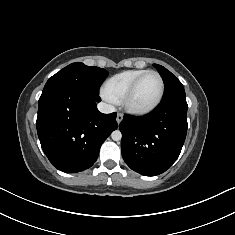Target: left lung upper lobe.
<instances>
[{
  "mask_svg": "<svg viewBox=\"0 0 235 235\" xmlns=\"http://www.w3.org/2000/svg\"><path fill=\"white\" fill-rule=\"evenodd\" d=\"M154 66L159 71L165 84V93L162 100L185 97V90L176 76L161 65L154 64Z\"/></svg>",
  "mask_w": 235,
  "mask_h": 235,
  "instance_id": "1",
  "label": "left lung upper lobe"
}]
</instances>
